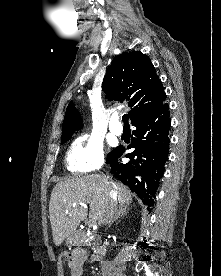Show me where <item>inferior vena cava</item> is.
Segmentation results:
<instances>
[{
    "mask_svg": "<svg viewBox=\"0 0 221 276\" xmlns=\"http://www.w3.org/2000/svg\"><path fill=\"white\" fill-rule=\"evenodd\" d=\"M116 213H117V198H116V195L113 194L112 192L110 195L109 201L106 205L101 223L104 225L106 224L109 225L113 221Z\"/></svg>",
    "mask_w": 221,
    "mask_h": 276,
    "instance_id": "obj_1",
    "label": "inferior vena cava"
}]
</instances>
